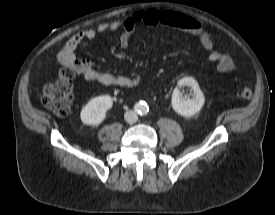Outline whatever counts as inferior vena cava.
Masks as SVG:
<instances>
[{"mask_svg":"<svg viewBox=\"0 0 275 215\" xmlns=\"http://www.w3.org/2000/svg\"><path fill=\"white\" fill-rule=\"evenodd\" d=\"M124 119L126 120V122L132 124L138 120V115L136 112L129 110L125 112Z\"/></svg>","mask_w":275,"mask_h":215,"instance_id":"inferior-vena-cava-1","label":"inferior vena cava"}]
</instances>
